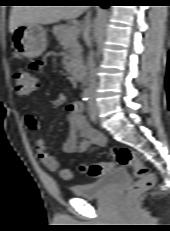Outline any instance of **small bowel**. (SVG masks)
<instances>
[{
    "instance_id": "c3829d8e",
    "label": "small bowel",
    "mask_w": 170,
    "mask_h": 231,
    "mask_svg": "<svg viewBox=\"0 0 170 231\" xmlns=\"http://www.w3.org/2000/svg\"><path fill=\"white\" fill-rule=\"evenodd\" d=\"M30 72L35 76H40L45 72V64L36 60L29 65ZM37 80V79H36ZM37 103L40 99L36 100ZM83 104L80 101H73L67 104V119L70 124L69 135L63 150L65 153H83L89 149L91 145L103 146L105 138L97 131L90 128L83 116ZM25 122L28 128L36 130L39 123L32 114H26ZM37 156L42 164L49 170H55L58 167L57 159L47 151L44 138H38L35 141Z\"/></svg>"
}]
</instances>
